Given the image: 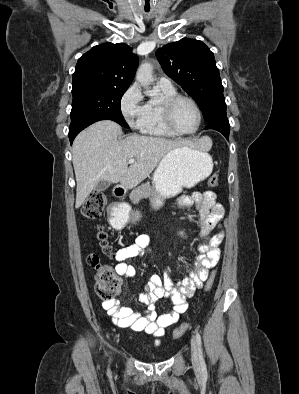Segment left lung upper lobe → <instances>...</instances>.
Wrapping results in <instances>:
<instances>
[{
	"label": "left lung upper lobe",
	"mask_w": 299,
	"mask_h": 394,
	"mask_svg": "<svg viewBox=\"0 0 299 394\" xmlns=\"http://www.w3.org/2000/svg\"><path fill=\"white\" fill-rule=\"evenodd\" d=\"M164 72L197 102L209 124L226 121V103L213 53L199 40L184 38L159 48Z\"/></svg>",
	"instance_id": "5c2ea615"
}]
</instances>
